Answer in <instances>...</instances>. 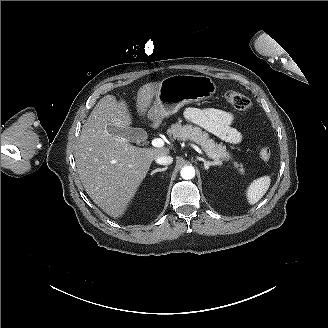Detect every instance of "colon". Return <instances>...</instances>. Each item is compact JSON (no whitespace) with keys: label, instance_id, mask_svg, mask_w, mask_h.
I'll list each match as a JSON object with an SVG mask.
<instances>
[{"label":"colon","instance_id":"5ec220e1","mask_svg":"<svg viewBox=\"0 0 328 328\" xmlns=\"http://www.w3.org/2000/svg\"><path fill=\"white\" fill-rule=\"evenodd\" d=\"M225 99L231 106L239 111H247L251 107L249 98L237 91H227ZM258 156L264 162L269 161L272 156L271 149L267 146H261L258 149Z\"/></svg>","mask_w":328,"mask_h":328}]
</instances>
